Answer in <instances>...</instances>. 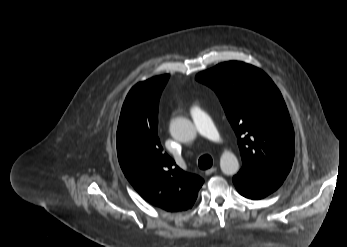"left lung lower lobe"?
<instances>
[{
    "label": "left lung lower lobe",
    "mask_w": 347,
    "mask_h": 247,
    "mask_svg": "<svg viewBox=\"0 0 347 247\" xmlns=\"http://www.w3.org/2000/svg\"><path fill=\"white\" fill-rule=\"evenodd\" d=\"M284 180L276 178H252L241 173L233 177L237 191L250 199H262L277 190Z\"/></svg>",
    "instance_id": "1"
}]
</instances>
